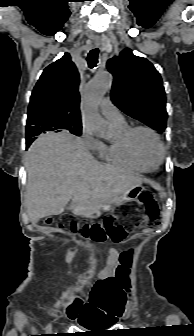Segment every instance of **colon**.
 I'll return each mask as SVG.
<instances>
[{
  "instance_id": "colon-1",
  "label": "colon",
  "mask_w": 194,
  "mask_h": 336,
  "mask_svg": "<svg viewBox=\"0 0 194 336\" xmlns=\"http://www.w3.org/2000/svg\"><path fill=\"white\" fill-rule=\"evenodd\" d=\"M140 209L142 213L138 214ZM158 216L159 208L153 195L148 192H141L134 202L125 204L117 215L107 216L101 223L80 225L69 215H63L59 221V226L71 231L81 230L84 237L98 243L106 241L121 243L133 229L155 225ZM49 223L52 224V220ZM129 261V254H124L121 258L119 274L125 271ZM81 307L82 300L76 298L68 307L67 316L71 319L76 318Z\"/></svg>"
}]
</instances>
